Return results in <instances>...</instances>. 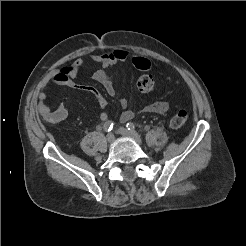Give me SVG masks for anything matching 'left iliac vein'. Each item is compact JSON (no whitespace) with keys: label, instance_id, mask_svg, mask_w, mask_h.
I'll return each instance as SVG.
<instances>
[{"label":"left iliac vein","instance_id":"1","mask_svg":"<svg viewBox=\"0 0 246 246\" xmlns=\"http://www.w3.org/2000/svg\"><path fill=\"white\" fill-rule=\"evenodd\" d=\"M118 133L121 134L122 136H125V137H129V138H132L133 140H135L138 144H141L142 141L139 137V135L134 132V131H129L127 130L126 128L124 127H120L118 129Z\"/></svg>","mask_w":246,"mask_h":246}]
</instances>
